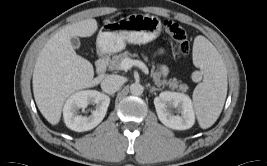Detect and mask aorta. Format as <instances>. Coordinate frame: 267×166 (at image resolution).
<instances>
[{
  "label": "aorta",
  "mask_w": 267,
  "mask_h": 166,
  "mask_svg": "<svg viewBox=\"0 0 267 166\" xmlns=\"http://www.w3.org/2000/svg\"><path fill=\"white\" fill-rule=\"evenodd\" d=\"M143 86L139 83H133L130 86V92L132 95L140 96L143 93Z\"/></svg>",
  "instance_id": "aorta-1"
}]
</instances>
